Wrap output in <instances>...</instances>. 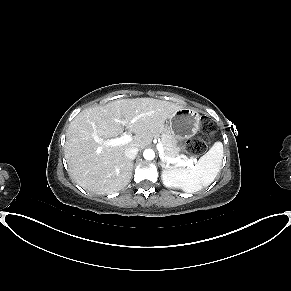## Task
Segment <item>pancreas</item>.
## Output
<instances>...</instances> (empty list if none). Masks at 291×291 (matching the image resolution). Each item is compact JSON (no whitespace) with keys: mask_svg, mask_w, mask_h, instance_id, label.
I'll list each match as a JSON object with an SVG mask.
<instances>
[{"mask_svg":"<svg viewBox=\"0 0 291 291\" xmlns=\"http://www.w3.org/2000/svg\"><path fill=\"white\" fill-rule=\"evenodd\" d=\"M163 146V160L167 158H176L179 156V150L175 145V142L167 129L161 131V142Z\"/></svg>","mask_w":291,"mask_h":291,"instance_id":"1","label":"pancreas"}]
</instances>
